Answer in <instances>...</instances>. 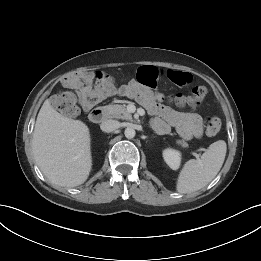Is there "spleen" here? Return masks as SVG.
<instances>
[{
  "instance_id": "3e777b00",
  "label": "spleen",
  "mask_w": 261,
  "mask_h": 261,
  "mask_svg": "<svg viewBox=\"0 0 261 261\" xmlns=\"http://www.w3.org/2000/svg\"><path fill=\"white\" fill-rule=\"evenodd\" d=\"M226 151V142L218 140L212 143L200 158L187 161L177 178V192L191 193L208 185L220 171Z\"/></svg>"
}]
</instances>
